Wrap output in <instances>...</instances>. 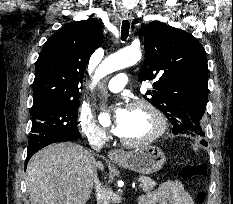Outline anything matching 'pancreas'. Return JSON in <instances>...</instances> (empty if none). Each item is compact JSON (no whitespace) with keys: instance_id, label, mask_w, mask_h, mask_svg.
I'll list each match as a JSON object with an SVG mask.
<instances>
[{"instance_id":"obj_1","label":"pancreas","mask_w":233,"mask_h":204,"mask_svg":"<svg viewBox=\"0 0 233 204\" xmlns=\"http://www.w3.org/2000/svg\"><path fill=\"white\" fill-rule=\"evenodd\" d=\"M139 181L141 182L140 188L143 190V192L146 193L152 191L154 187L157 185L155 181L146 176H141L139 178Z\"/></svg>"}]
</instances>
